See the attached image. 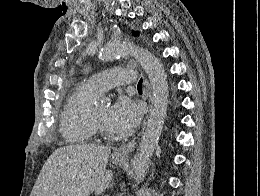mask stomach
Instances as JSON below:
<instances>
[{
  "label": "stomach",
  "instance_id": "1",
  "mask_svg": "<svg viewBox=\"0 0 260 196\" xmlns=\"http://www.w3.org/2000/svg\"><path fill=\"white\" fill-rule=\"evenodd\" d=\"M112 162H113V164H116V166H122V164H124V162H126V160H114V158L112 156Z\"/></svg>",
  "mask_w": 260,
  "mask_h": 196
}]
</instances>
